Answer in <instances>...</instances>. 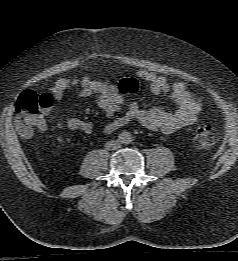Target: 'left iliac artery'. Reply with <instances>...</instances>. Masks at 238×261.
Returning <instances> with one entry per match:
<instances>
[{"mask_svg": "<svg viewBox=\"0 0 238 261\" xmlns=\"http://www.w3.org/2000/svg\"><path fill=\"white\" fill-rule=\"evenodd\" d=\"M127 141H128V142H131V137H129Z\"/></svg>", "mask_w": 238, "mask_h": 261, "instance_id": "left-iliac-artery-1", "label": "left iliac artery"}]
</instances>
